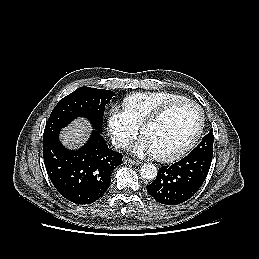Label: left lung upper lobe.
Listing matches in <instances>:
<instances>
[{
	"label": "left lung upper lobe",
	"instance_id": "5c2ea615",
	"mask_svg": "<svg viewBox=\"0 0 259 259\" xmlns=\"http://www.w3.org/2000/svg\"><path fill=\"white\" fill-rule=\"evenodd\" d=\"M213 141V133L209 132L206 136L202 138L200 144L192 150L191 154H203L213 157Z\"/></svg>",
	"mask_w": 259,
	"mask_h": 259
}]
</instances>
